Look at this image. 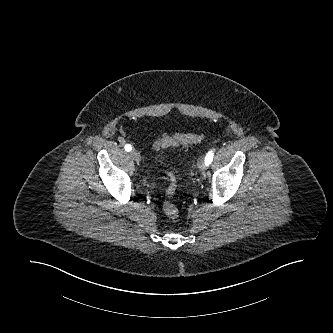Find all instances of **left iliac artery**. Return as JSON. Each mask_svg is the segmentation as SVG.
Wrapping results in <instances>:
<instances>
[{
	"mask_svg": "<svg viewBox=\"0 0 333 333\" xmlns=\"http://www.w3.org/2000/svg\"><path fill=\"white\" fill-rule=\"evenodd\" d=\"M213 156H214V151H209L206 156H205V164L208 166L209 164H211L212 160H213Z\"/></svg>",
	"mask_w": 333,
	"mask_h": 333,
	"instance_id": "left-iliac-artery-1",
	"label": "left iliac artery"
}]
</instances>
